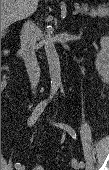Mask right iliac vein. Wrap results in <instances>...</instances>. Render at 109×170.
Returning a JSON list of instances; mask_svg holds the SVG:
<instances>
[{
  "label": "right iliac vein",
  "instance_id": "1",
  "mask_svg": "<svg viewBox=\"0 0 109 170\" xmlns=\"http://www.w3.org/2000/svg\"><path fill=\"white\" fill-rule=\"evenodd\" d=\"M17 170H25V167L24 166H20L17 168Z\"/></svg>",
  "mask_w": 109,
  "mask_h": 170
}]
</instances>
